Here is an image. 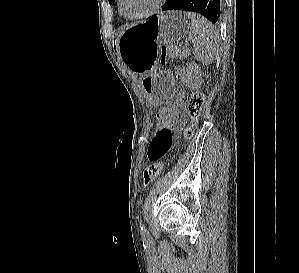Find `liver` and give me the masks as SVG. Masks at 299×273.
<instances>
[{
  "instance_id": "obj_1",
  "label": "liver",
  "mask_w": 299,
  "mask_h": 273,
  "mask_svg": "<svg viewBox=\"0 0 299 273\" xmlns=\"http://www.w3.org/2000/svg\"><path fill=\"white\" fill-rule=\"evenodd\" d=\"M138 24H139V23L137 22V23H131V24L122 26V27H121V31H120V33H119V36H118V38H117V41H118L119 37L121 36V34H122L125 30H127V29H129V28H131V27H134V26H136V25H138Z\"/></svg>"
}]
</instances>
